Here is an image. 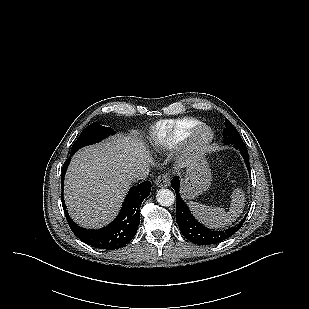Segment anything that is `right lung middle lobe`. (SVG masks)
I'll use <instances>...</instances> for the list:
<instances>
[{
	"instance_id": "obj_1",
	"label": "right lung middle lobe",
	"mask_w": 309,
	"mask_h": 309,
	"mask_svg": "<svg viewBox=\"0 0 309 309\" xmlns=\"http://www.w3.org/2000/svg\"><path fill=\"white\" fill-rule=\"evenodd\" d=\"M114 130L110 127L100 125L98 122H94L86 127L80 134V137L74 142L71 153H75L83 146L99 142L109 135H113Z\"/></svg>"
}]
</instances>
